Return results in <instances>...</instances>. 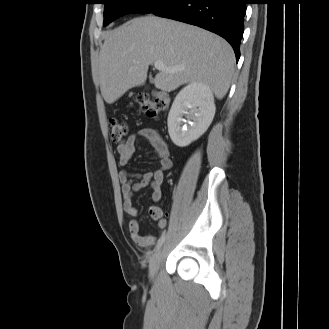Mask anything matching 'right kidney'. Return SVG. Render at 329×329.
Wrapping results in <instances>:
<instances>
[{"label":"right kidney","mask_w":329,"mask_h":329,"mask_svg":"<svg viewBox=\"0 0 329 329\" xmlns=\"http://www.w3.org/2000/svg\"><path fill=\"white\" fill-rule=\"evenodd\" d=\"M214 96L210 88L199 82L185 86L177 94L168 115V132L173 143L186 147L203 135L215 115ZM184 115L192 122L183 125Z\"/></svg>","instance_id":"obj_1"}]
</instances>
